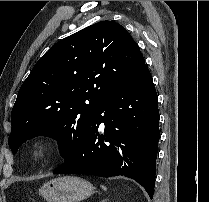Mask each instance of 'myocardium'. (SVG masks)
<instances>
[{"mask_svg":"<svg viewBox=\"0 0 209 202\" xmlns=\"http://www.w3.org/2000/svg\"><path fill=\"white\" fill-rule=\"evenodd\" d=\"M54 142L49 135L37 137L30 146V158L37 164H43L53 150Z\"/></svg>","mask_w":209,"mask_h":202,"instance_id":"myocardium-1","label":"myocardium"}]
</instances>
